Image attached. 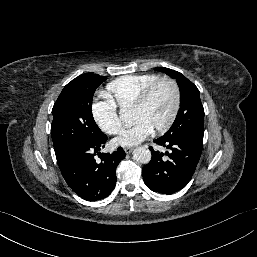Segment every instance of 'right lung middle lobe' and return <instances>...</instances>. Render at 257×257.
Here are the masks:
<instances>
[{
    "mask_svg": "<svg viewBox=\"0 0 257 257\" xmlns=\"http://www.w3.org/2000/svg\"><path fill=\"white\" fill-rule=\"evenodd\" d=\"M106 77L82 74L69 82L55 102L51 136L55 154L73 145H91L104 138L92 115V98Z\"/></svg>",
    "mask_w": 257,
    "mask_h": 257,
    "instance_id": "dd1d6c3e",
    "label": "right lung middle lobe"
}]
</instances>
